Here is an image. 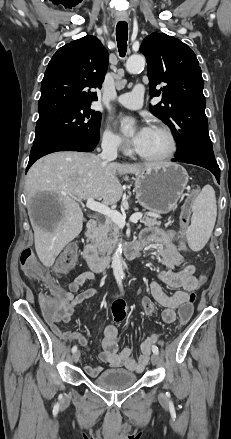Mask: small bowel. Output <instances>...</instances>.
Wrapping results in <instances>:
<instances>
[{
  "instance_id": "c3829d8e",
  "label": "small bowel",
  "mask_w": 231,
  "mask_h": 439,
  "mask_svg": "<svg viewBox=\"0 0 231 439\" xmlns=\"http://www.w3.org/2000/svg\"><path fill=\"white\" fill-rule=\"evenodd\" d=\"M140 239L142 244H156L159 248V256L166 269L158 272L159 281H153L150 284V292L152 297L165 307L162 312L163 321L168 324L173 323L178 317L180 303L186 302L188 294L195 293L203 282L195 276V266L192 264L184 265L179 271L173 270L183 264L187 252L186 244L178 238L174 230H163L157 227L147 228L141 233ZM94 279V272L85 271L75 277L65 290L60 289L55 318L48 320L52 331L57 336L66 340H78L85 347H87L88 341L82 333L62 331L59 329L58 323H68L74 315L75 307L98 293L96 288L78 293V290L85 283L92 282ZM162 284L175 289V291L173 293L167 292ZM137 309L142 315H151L155 312L153 302L146 296L139 300ZM156 342L157 335L151 334L141 343V354L135 358L129 347L119 350L117 327L113 324L104 325L101 337L102 351L99 359L111 367L123 366L130 371L141 372L148 364L151 346ZM102 370L103 367L100 365L85 366L86 373L92 377L100 374Z\"/></svg>"
}]
</instances>
